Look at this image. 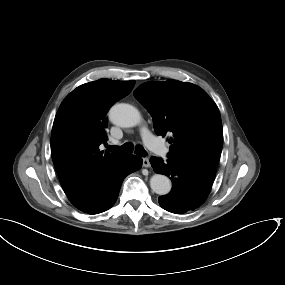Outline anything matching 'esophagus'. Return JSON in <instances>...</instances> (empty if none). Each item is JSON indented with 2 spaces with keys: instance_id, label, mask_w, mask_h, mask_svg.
<instances>
[{
  "instance_id": "obj_1",
  "label": "esophagus",
  "mask_w": 285,
  "mask_h": 285,
  "mask_svg": "<svg viewBox=\"0 0 285 285\" xmlns=\"http://www.w3.org/2000/svg\"><path fill=\"white\" fill-rule=\"evenodd\" d=\"M142 164H143V166L146 167V168L150 167V161H149V159L146 158V157L143 158Z\"/></svg>"
}]
</instances>
